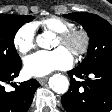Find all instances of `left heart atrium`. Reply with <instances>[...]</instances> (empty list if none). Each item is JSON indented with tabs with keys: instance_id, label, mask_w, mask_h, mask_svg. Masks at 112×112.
<instances>
[{
	"instance_id": "left-heart-atrium-1",
	"label": "left heart atrium",
	"mask_w": 112,
	"mask_h": 112,
	"mask_svg": "<svg viewBox=\"0 0 112 112\" xmlns=\"http://www.w3.org/2000/svg\"><path fill=\"white\" fill-rule=\"evenodd\" d=\"M71 53L65 47L53 51H38L24 59V71L28 76L42 77L55 70L72 65Z\"/></svg>"
}]
</instances>
